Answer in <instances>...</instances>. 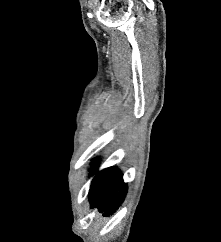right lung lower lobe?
Masks as SVG:
<instances>
[{
  "label": "right lung lower lobe",
  "mask_w": 221,
  "mask_h": 242,
  "mask_svg": "<svg viewBox=\"0 0 221 242\" xmlns=\"http://www.w3.org/2000/svg\"><path fill=\"white\" fill-rule=\"evenodd\" d=\"M126 190L122 174L117 168L110 167L99 172L93 179L89 191L91 208L97 207L104 215L112 214L122 203Z\"/></svg>",
  "instance_id": "1"
}]
</instances>
